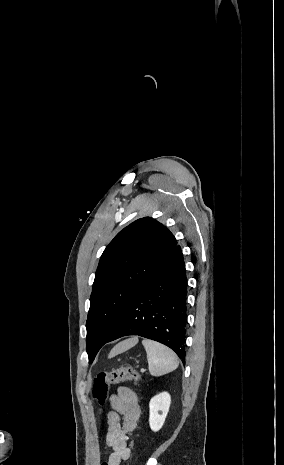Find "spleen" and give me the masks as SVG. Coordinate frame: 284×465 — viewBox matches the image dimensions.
Wrapping results in <instances>:
<instances>
[{
    "label": "spleen",
    "instance_id": "obj_1",
    "mask_svg": "<svg viewBox=\"0 0 284 465\" xmlns=\"http://www.w3.org/2000/svg\"><path fill=\"white\" fill-rule=\"evenodd\" d=\"M142 345L147 353L150 375L161 377V375H166V373H171L177 369L178 357L171 349L161 345V343H156V341H149V339L142 341Z\"/></svg>",
    "mask_w": 284,
    "mask_h": 465
}]
</instances>
